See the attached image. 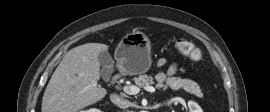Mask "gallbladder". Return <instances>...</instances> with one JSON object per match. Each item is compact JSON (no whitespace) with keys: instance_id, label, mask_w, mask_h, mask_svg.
Here are the masks:
<instances>
[{"instance_id":"obj_1","label":"gallbladder","mask_w":270,"mask_h":112,"mask_svg":"<svg viewBox=\"0 0 270 112\" xmlns=\"http://www.w3.org/2000/svg\"><path fill=\"white\" fill-rule=\"evenodd\" d=\"M99 62L102 66V75L107 78L113 72L114 61L108 52H101L99 54Z\"/></svg>"}]
</instances>
